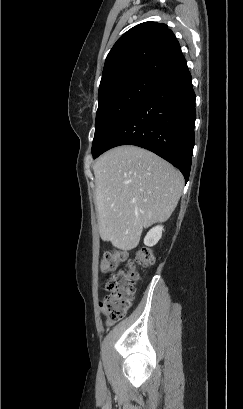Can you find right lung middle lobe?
Masks as SVG:
<instances>
[{
	"label": "right lung middle lobe",
	"mask_w": 243,
	"mask_h": 409,
	"mask_svg": "<svg viewBox=\"0 0 243 409\" xmlns=\"http://www.w3.org/2000/svg\"><path fill=\"white\" fill-rule=\"evenodd\" d=\"M158 79L137 76L111 85L99 97L96 113L95 135L92 143L93 157L105 146L118 126L139 105Z\"/></svg>",
	"instance_id": "dd1d6c3e"
}]
</instances>
